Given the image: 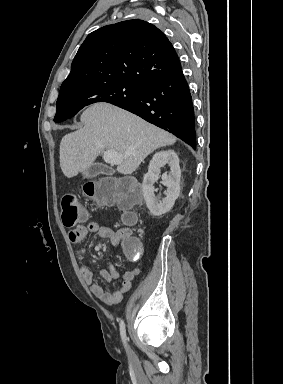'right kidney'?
I'll return each mask as SVG.
<instances>
[{
	"instance_id": "right-kidney-1",
	"label": "right kidney",
	"mask_w": 283,
	"mask_h": 384,
	"mask_svg": "<svg viewBox=\"0 0 283 384\" xmlns=\"http://www.w3.org/2000/svg\"><path fill=\"white\" fill-rule=\"evenodd\" d=\"M166 164L170 166L169 174L167 172L162 174L164 186L167 188L166 198L158 200V198H155L154 184L159 180L161 168H164ZM180 178L179 158L174 150H165V152L162 150V152L154 154L149 164L148 174H145L142 184L144 200L152 216L162 218L163 214L170 212L180 194Z\"/></svg>"
}]
</instances>
